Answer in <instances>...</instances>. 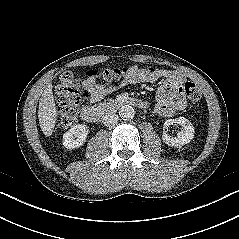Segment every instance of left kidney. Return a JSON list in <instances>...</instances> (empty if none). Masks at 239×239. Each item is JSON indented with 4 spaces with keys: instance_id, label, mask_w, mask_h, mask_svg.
Returning <instances> with one entry per match:
<instances>
[{
    "instance_id": "1",
    "label": "left kidney",
    "mask_w": 239,
    "mask_h": 239,
    "mask_svg": "<svg viewBox=\"0 0 239 239\" xmlns=\"http://www.w3.org/2000/svg\"><path fill=\"white\" fill-rule=\"evenodd\" d=\"M173 123L181 125L183 127L182 130L178 132L176 137L169 136L164 130L162 135L163 142L172 147H179L189 143L193 139L195 133L192 123L184 117H178L175 119L166 120L164 123V128L169 127Z\"/></svg>"
}]
</instances>
